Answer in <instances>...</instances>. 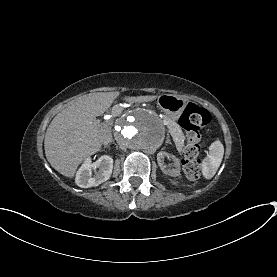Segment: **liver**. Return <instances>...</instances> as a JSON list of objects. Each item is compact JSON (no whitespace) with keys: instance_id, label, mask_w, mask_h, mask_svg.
<instances>
[{"instance_id":"liver-1","label":"liver","mask_w":277,"mask_h":277,"mask_svg":"<svg viewBox=\"0 0 277 277\" xmlns=\"http://www.w3.org/2000/svg\"><path fill=\"white\" fill-rule=\"evenodd\" d=\"M120 92H96L85 95L59 112L49 124L44 138L47 161L66 178H74L80 165L113 141L112 122L95 118L107 111ZM157 95L122 98L131 103L154 101Z\"/></svg>"}]
</instances>
